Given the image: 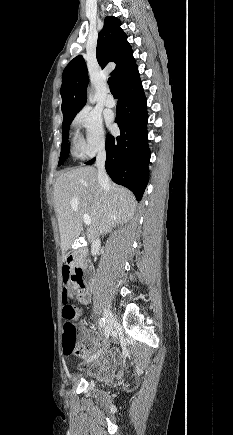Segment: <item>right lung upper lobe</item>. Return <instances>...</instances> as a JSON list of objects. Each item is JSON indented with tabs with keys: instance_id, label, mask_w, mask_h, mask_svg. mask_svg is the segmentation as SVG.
<instances>
[{
	"instance_id": "cb5924a9",
	"label": "right lung upper lobe",
	"mask_w": 233,
	"mask_h": 435,
	"mask_svg": "<svg viewBox=\"0 0 233 435\" xmlns=\"http://www.w3.org/2000/svg\"><path fill=\"white\" fill-rule=\"evenodd\" d=\"M96 57L101 68L109 62L116 63L111 74L116 78L117 84L138 72L132 48L127 42L126 34L120 28L118 18H105L103 29L98 35ZM62 79L63 117L76 115L86 103L88 85L87 67L81 55L70 61L63 71Z\"/></svg>"
}]
</instances>
